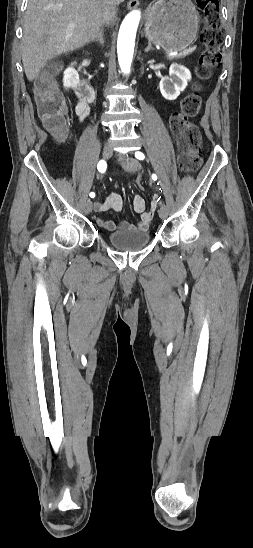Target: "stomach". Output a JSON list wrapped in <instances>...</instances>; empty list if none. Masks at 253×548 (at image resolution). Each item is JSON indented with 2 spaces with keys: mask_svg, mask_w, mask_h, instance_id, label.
Segmentation results:
<instances>
[{
  "mask_svg": "<svg viewBox=\"0 0 253 548\" xmlns=\"http://www.w3.org/2000/svg\"><path fill=\"white\" fill-rule=\"evenodd\" d=\"M198 13L191 0H159L148 11L145 36L166 51H184L198 31Z\"/></svg>",
  "mask_w": 253,
  "mask_h": 548,
  "instance_id": "1",
  "label": "stomach"
}]
</instances>
